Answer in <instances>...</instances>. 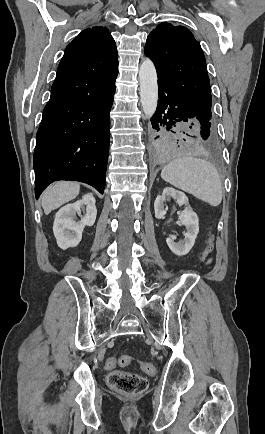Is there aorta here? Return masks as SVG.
<instances>
[{
  "label": "aorta",
  "instance_id": "aorta-1",
  "mask_svg": "<svg viewBox=\"0 0 265 434\" xmlns=\"http://www.w3.org/2000/svg\"><path fill=\"white\" fill-rule=\"evenodd\" d=\"M140 102L145 120H150L158 104V84L155 66L149 58L139 68Z\"/></svg>",
  "mask_w": 265,
  "mask_h": 434
}]
</instances>
